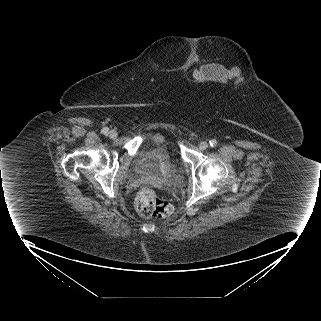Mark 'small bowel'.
Returning a JSON list of instances; mask_svg holds the SVG:
<instances>
[{"instance_id": "c3829d8e", "label": "small bowel", "mask_w": 321, "mask_h": 321, "mask_svg": "<svg viewBox=\"0 0 321 321\" xmlns=\"http://www.w3.org/2000/svg\"><path fill=\"white\" fill-rule=\"evenodd\" d=\"M245 80L246 75L242 71L226 69L219 64H208L184 76L188 85L216 83L219 86H230L235 82L242 84Z\"/></svg>"}]
</instances>
